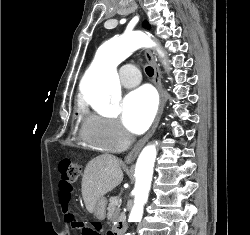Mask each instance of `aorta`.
<instances>
[{
	"instance_id": "aorta-1",
	"label": "aorta",
	"mask_w": 250,
	"mask_h": 235,
	"mask_svg": "<svg viewBox=\"0 0 250 235\" xmlns=\"http://www.w3.org/2000/svg\"><path fill=\"white\" fill-rule=\"evenodd\" d=\"M156 46L145 33L132 32L122 39L103 43L86 74L83 94L91 105L108 107L120 99V82L116 66L132 51L141 47ZM157 151L155 145H147L140 153L135 169L134 206L129 222H140L147 202ZM130 235V234H127Z\"/></svg>"
}]
</instances>
